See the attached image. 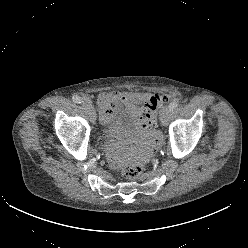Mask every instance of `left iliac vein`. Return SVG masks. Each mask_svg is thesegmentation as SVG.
I'll use <instances>...</instances> for the list:
<instances>
[{
	"label": "left iliac vein",
	"instance_id": "1",
	"mask_svg": "<svg viewBox=\"0 0 248 248\" xmlns=\"http://www.w3.org/2000/svg\"><path fill=\"white\" fill-rule=\"evenodd\" d=\"M170 111L171 109L169 106L163 107L162 110L160 111V120L164 126H166L168 123Z\"/></svg>",
	"mask_w": 248,
	"mask_h": 248
}]
</instances>
